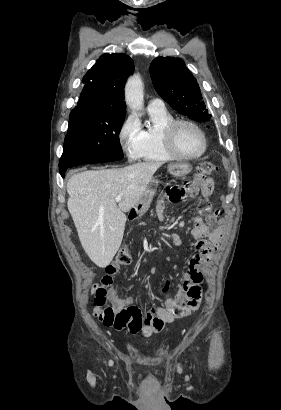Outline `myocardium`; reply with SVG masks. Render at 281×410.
<instances>
[{"instance_id":"myocardium-1","label":"myocardium","mask_w":281,"mask_h":410,"mask_svg":"<svg viewBox=\"0 0 281 410\" xmlns=\"http://www.w3.org/2000/svg\"><path fill=\"white\" fill-rule=\"evenodd\" d=\"M180 125H190L194 127L200 133L202 140H203V146H202V149L197 154L186 155L177 148L175 144V140H174V135H175L176 129ZM163 140H164L165 146L168 149V151L172 155H174L176 158L182 159V160H194V159L201 157L205 153L207 146H208V140H207L205 131L199 124H197L195 121L190 120V119H174L169 124H167L163 130Z\"/></svg>"}]
</instances>
